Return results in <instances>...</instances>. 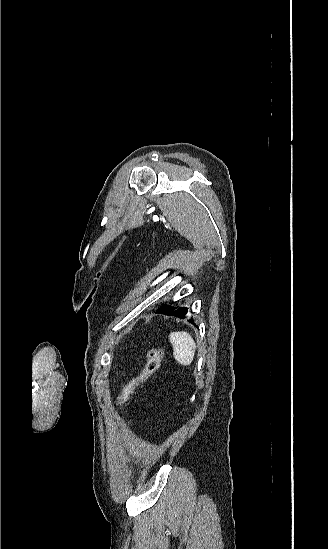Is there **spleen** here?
Instances as JSON below:
<instances>
[{
  "instance_id": "spleen-1",
  "label": "spleen",
  "mask_w": 328,
  "mask_h": 549,
  "mask_svg": "<svg viewBox=\"0 0 328 549\" xmlns=\"http://www.w3.org/2000/svg\"><path fill=\"white\" fill-rule=\"evenodd\" d=\"M169 341L173 347V355L179 365H184V367L191 365L196 351V343L191 335L186 331L170 333Z\"/></svg>"
}]
</instances>
